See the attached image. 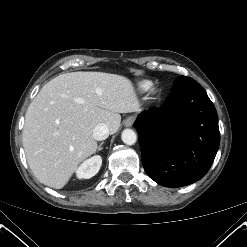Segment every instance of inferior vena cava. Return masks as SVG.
<instances>
[{"instance_id": "obj_1", "label": "inferior vena cava", "mask_w": 247, "mask_h": 247, "mask_svg": "<svg viewBox=\"0 0 247 247\" xmlns=\"http://www.w3.org/2000/svg\"><path fill=\"white\" fill-rule=\"evenodd\" d=\"M108 136L109 127L105 123H100L93 129V137L95 140H105Z\"/></svg>"}]
</instances>
